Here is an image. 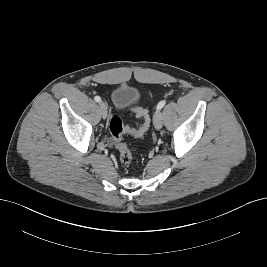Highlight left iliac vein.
Here are the masks:
<instances>
[{
	"mask_svg": "<svg viewBox=\"0 0 267 267\" xmlns=\"http://www.w3.org/2000/svg\"><path fill=\"white\" fill-rule=\"evenodd\" d=\"M153 124H154V127L156 129H161L162 128V125H163V116H162V113L157 110L155 113H154V116H153Z\"/></svg>",
	"mask_w": 267,
	"mask_h": 267,
	"instance_id": "obj_1",
	"label": "left iliac vein"
}]
</instances>
